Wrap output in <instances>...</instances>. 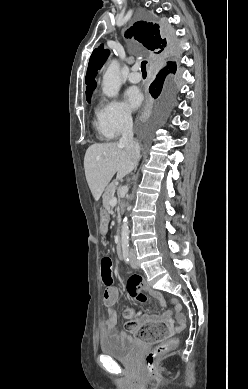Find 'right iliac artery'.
I'll list each match as a JSON object with an SVG mask.
<instances>
[{
    "label": "right iliac artery",
    "mask_w": 248,
    "mask_h": 389,
    "mask_svg": "<svg viewBox=\"0 0 248 389\" xmlns=\"http://www.w3.org/2000/svg\"><path fill=\"white\" fill-rule=\"evenodd\" d=\"M123 259H124V261H125L126 263L129 262V254H128V251H127V250L124 252Z\"/></svg>",
    "instance_id": "82829eb1"
}]
</instances>
